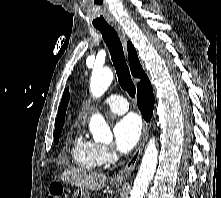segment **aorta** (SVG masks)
I'll use <instances>...</instances> for the list:
<instances>
[{
  "mask_svg": "<svg viewBox=\"0 0 221 198\" xmlns=\"http://www.w3.org/2000/svg\"><path fill=\"white\" fill-rule=\"evenodd\" d=\"M113 72L111 69H95L92 72L90 79V91L95 97H100L110 86L113 80ZM89 130L97 141L112 140L110 127L99 115H93L90 119ZM158 160V150L156 147L155 138H150L145 153L142 158L140 169L134 181L133 189L130 198H143L148 185L154 175Z\"/></svg>",
  "mask_w": 221,
  "mask_h": 198,
  "instance_id": "762f6f07",
  "label": "aorta"
}]
</instances>
